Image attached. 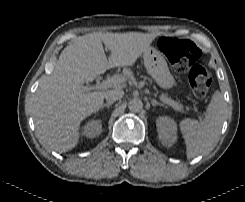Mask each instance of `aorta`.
<instances>
[{"label":"aorta","mask_w":245,"mask_h":202,"mask_svg":"<svg viewBox=\"0 0 245 202\" xmlns=\"http://www.w3.org/2000/svg\"><path fill=\"white\" fill-rule=\"evenodd\" d=\"M128 108L131 112H140L143 108V102L140 99L134 98L129 101Z\"/></svg>","instance_id":"1"}]
</instances>
